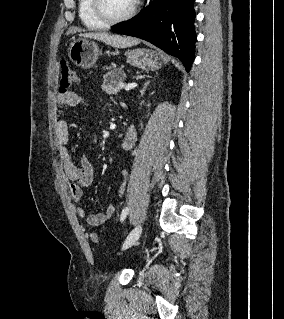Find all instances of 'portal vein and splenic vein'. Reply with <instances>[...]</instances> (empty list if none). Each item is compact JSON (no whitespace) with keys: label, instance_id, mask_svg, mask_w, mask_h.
<instances>
[{"label":"portal vein and splenic vein","instance_id":"18ae733b","mask_svg":"<svg viewBox=\"0 0 284 319\" xmlns=\"http://www.w3.org/2000/svg\"><path fill=\"white\" fill-rule=\"evenodd\" d=\"M120 87H122V88L124 87V89L126 91H129V90L134 89L135 87H137V83H129L127 85L121 84Z\"/></svg>","mask_w":284,"mask_h":319}]
</instances>
